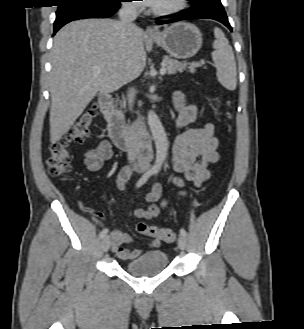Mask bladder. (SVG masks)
I'll return each mask as SVG.
<instances>
[{
    "label": "bladder",
    "instance_id": "bladder-1",
    "mask_svg": "<svg viewBox=\"0 0 304 329\" xmlns=\"http://www.w3.org/2000/svg\"><path fill=\"white\" fill-rule=\"evenodd\" d=\"M168 264L169 258L165 251L151 250L129 260L125 264L124 270L136 277H150L164 271Z\"/></svg>",
    "mask_w": 304,
    "mask_h": 329
}]
</instances>
